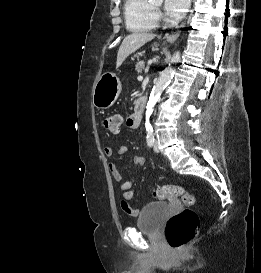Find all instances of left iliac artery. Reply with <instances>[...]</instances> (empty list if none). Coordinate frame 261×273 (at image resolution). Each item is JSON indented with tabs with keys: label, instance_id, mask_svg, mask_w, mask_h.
Segmentation results:
<instances>
[{
	"label": "left iliac artery",
	"instance_id": "left-iliac-artery-1",
	"mask_svg": "<svg viewBox=\"0 0 261 273\" xmlns=\"http://www.w3.org/2000/svg\"><path fill=\"white\" fill-rule=\"evenodd\" d=\"M146 130H147V136H146L147 145L149 147H151L153 145V142H154L153 129L152 128H148Z\"/></svg>",
	"mask_w": 261,
	"mask_h": 273
}]
</instances>
